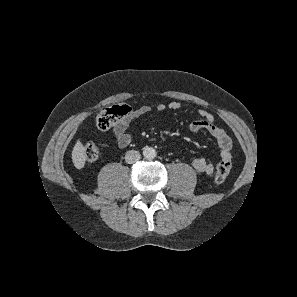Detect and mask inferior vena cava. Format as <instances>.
Returning <instances> with one entry per match:
<instances>
[{"label": "inferior vena cava", "mask_w": 297, "mask_h": 297, "mask_svg": "<svg viewBox=\"0 0 297 297\" xmlns=\"http://www.w3.org/2000/svg\"><path fill=\"white\" fill-rule=\"evenodd\" d=\"M140 153L136 150H130V151H127L126 154H125V161L128 163V164H133L135 162H137L139 159H140Z\"/></svg>", "instance_id": "inferior-vena-cava-1"}]
</instances>
